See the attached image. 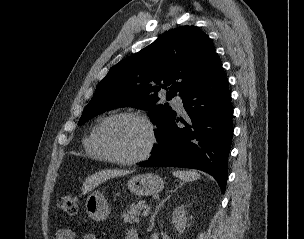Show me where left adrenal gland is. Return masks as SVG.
Segmentation results:
<instances>
[{
    "mask_svg": "<svg viewBox=\"0 0 304 239\" xmlns=\"http://www.w3.org/2000/svg\"><path fill=\"white\" fill-rule=\"evenodd\" d=\"M170 198V195L167 196L165 199H163L159 204L158 206H156L155 210L153 211L152 215H151V218H150V225H149V228H148V231H152L153 227H154V224H155V217L156 215L158 214L159 210L164 206L165 202Z\"/></svg>",
    "mask_w": 304,
    "mask_h": 239,
    "instance_id": "obj_1",
    "label": "left adrenal gland"
}]
</instances>
